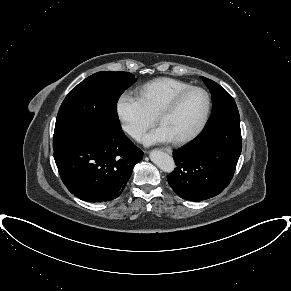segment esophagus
<instances>
[{
	"label": "esophagus",
	"instance_id": "34e87169",
	"mask_svg": "<svg viewBox=\"0 0 291 291\" xmlns=\"http://www.w3.org/2000/svg\"><path fill=\"white\" fill-rule=\"evenodd\" d=\"M161 150H162V151H165V152H167V153H169V154L172 153L171 149H168V148H161Z\"/></svg>",
	"mask_w": 291,
	"mask_h": 291
}]
</instances>
